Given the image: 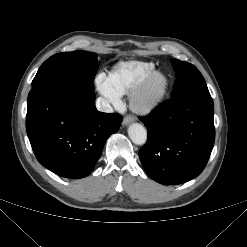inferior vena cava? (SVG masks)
Segmentation results:
<instances>
[{"mask_svg": "<svg viewBox=\"0 0 247 247\" xmlns=\"http://www.w3.org/2000/svg\"><path fill=\"white\" fill-rule=\"evenodd\" d=\"M96 107L101 112H106V113H112L113 112L112 106L103 97H99L96 100Z\"/></svg>", "mask_w": 247, "mask_h": 247, "instance_id": "602c4592", "label": "inferior vena cava"}]
</instances>
